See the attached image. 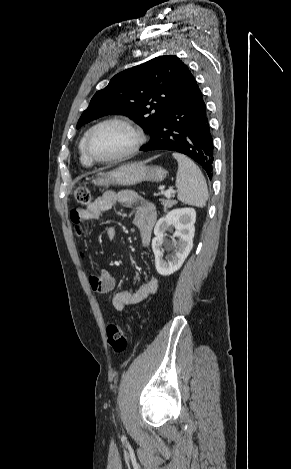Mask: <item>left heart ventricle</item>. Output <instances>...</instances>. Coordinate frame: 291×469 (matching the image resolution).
<instances>
[{
    "label": "left heart ventricle",
    "instance_id": "left-heart-ventricle-1",
    "mask_svg": "<svg viewBox=\"0 0 291 469\" xmlns=\"http://www.w3.org/2000/svg\"><path fill=\"white\" fill-rule=\"evenodd\" d=\"M133 142L134 135L126 126L111 123L93 132L89 148L97 158H110L129 149Z\"/></svg>",
    "mask_w": 291,
    "mask_h": 469
}]
</instances>
